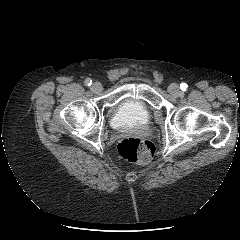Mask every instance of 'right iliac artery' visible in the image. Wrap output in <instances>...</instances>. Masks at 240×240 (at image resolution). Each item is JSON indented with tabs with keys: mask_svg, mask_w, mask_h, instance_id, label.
Returning a JSON list of instances; mask_svg holds the SVG:
<instances>
[{
	"mask_svg": "<svg viewBox=\"0 0 240 240\" xmlns=\"http://www.w3.org/2000/svg\"><path fill=\"white\" fill-rule=\"evenodd\" d=\"M91 84H92L91 79L88 78V79L85 80V85L86 86H90Z\"/></svg>",
	"mask_w": 240,
	"mask_h": 240,
	"instance_id": "obj_1",
	"label": "right iliac artery"
}]
</instances>
